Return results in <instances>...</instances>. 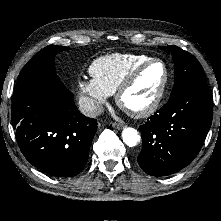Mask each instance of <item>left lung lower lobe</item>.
<instances>
[{
	"label": "left lung lower lobe",
	"instance_id": "left-lung-lower-lobe-1",
	"mask_svg": "<svg viewBox=\"0 0 221 221\" xmlns=\"http://www.w3.org/2000/svg\"><path fill=\"white\" fill-rule=\"evenodd\" d=\"M212 99L206 85L190 86L140 126L138 163L152 176H166L186 167L199 153L210 129Z\"/></svg>",
	"mask_w": 221,
	"mask_h": 221
}]
</instances>
